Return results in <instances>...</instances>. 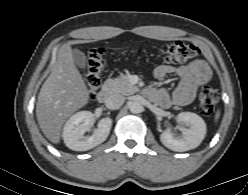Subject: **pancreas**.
Listing matches in <instances>:
<instances>
[{
	"label": "pancreas",
	"instance_id": "pancreas-1",
	"mask_svg": "<svg viewBox=\"0 0 248 195\" xmlns=\"http://www.w3.org/2000/svg\"><path fill=\"white\" fill-rule=\"evenodd\" d=\"M105 87L111 93H121L123 95H131L138 91V88L130 83L129 76L121 74L115 79H108Z\"/></svg>",
	"mask_w": 248,
	"mask_h": 195
}]
</instances>
